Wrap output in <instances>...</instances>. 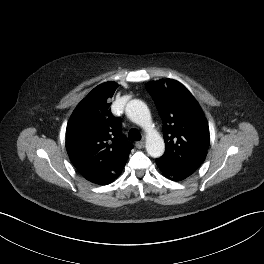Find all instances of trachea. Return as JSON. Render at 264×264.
I'll return each instance as SVG.
<instances>
[{"label":"trachea","mask_w":264,"mask_h":264,"mask_svg":"<svg viewBox=\"0 0 264 264\" xmlns=\"http://www.w3.org/2000/svg\"><path fill=\"white\" fill-rule=\"evenodd\" d=\"M128 137L130 141H139L141 139V134L136 130H130Z\"/></svg>","instance_id":"1"}]
</instances>
